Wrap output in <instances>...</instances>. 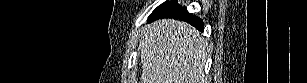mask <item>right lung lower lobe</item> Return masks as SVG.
<instances>
[{"label": "right lung lower lobe", "mask_w": 307, "mask_h": 83, "mask_svg": "<svg viewBox=\"0 0 307 83\" xmlns=\"http://www.w3.org/2000/svg\"><path fill=\"white\" fill-rule=\"evenodd\" d=\"M162 17H172L188 22L199 30L204 29L203 22L196 16L188 13L186 8L179 6L176 1L166 2L158 6L149 16L148 21H153Z\"/></svg>", "instance_id": "98d812e1"}]
</instances>
